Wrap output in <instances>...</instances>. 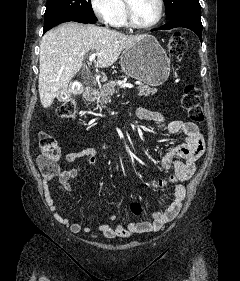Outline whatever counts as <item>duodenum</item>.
I'll return each instance as SVG.
<instances>
[{
  "mask_svg": "<svg viewBox=\"0 0 240 281\" xmlns=\"http://www.w3.org/2000/svg\"><path fill=\"white\" fill-rule=\"evenodd\" d=\"M96 90L94 88H89L85 93L83 94L84 101H92L95 98Z\"/></svg>",
  "mask_w": 240,
  "mask_h": 281,
  "instance_id": "duodenum-1",
  "label": "duodenum"
}]
</instances>
